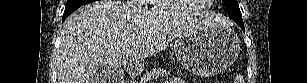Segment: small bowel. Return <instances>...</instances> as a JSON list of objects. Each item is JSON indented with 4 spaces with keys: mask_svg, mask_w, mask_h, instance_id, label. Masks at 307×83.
<instances>
[{
    "mask_svg": "<svg viewBox=\"0 0 307 83\" xmlns=\"http://www.w3.org/2000/svg\"><path fill=\"white\" fill-rule=\"evenodd\" d=\"M170 83H184V81L180 78H173L170 80Z\"/></svg>",
    "mask_w": 307,
    "mask_h": 83,
    "instance_id": "obj_1",
    "label": "small bowel"
}]
</instances>
